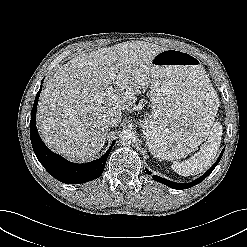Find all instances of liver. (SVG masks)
Listing matches in <instances>:
<instances>
[{
    "label": "liver",
    "instance_id": "1",
    "mask_svg": "<svg viewBox=\"0 0 247 247\" xmlns=\"http://www.w3.org/2000/svg\"><path fill=\"white\" fill-rule=\"evenodd\" d=\"M165 49L128 41L81 53L59 67L45 82L37 109L36 122L46 145L72 161L92 160L105 144L107 116L122 115L147 89L151 62ZM112 84L117 87L108 94Z\"/></svg>",
    "mask_w": 247,
    "mask_h": 247
}]
</instances>
